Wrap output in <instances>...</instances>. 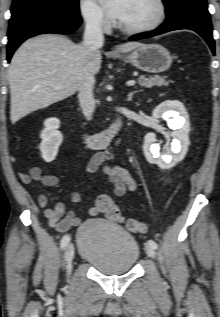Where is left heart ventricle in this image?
Masks as SVG:
<instances>
[{"label": "left heart ventricle", "mask_w": 220, "mask_h": 317, "mask_svg": "<svg viewBox=\"0 0 220 317\" xmlns=\"http://www.w3.org/2000/svg\"><path fill=\"white\" fill-rule=\"evenodd\" d=\"M157 15L153 0H130L120 24L126 27H140L151 23Z\"/></svg>", "instance_id": "b2bd125f"}]
</instances>
